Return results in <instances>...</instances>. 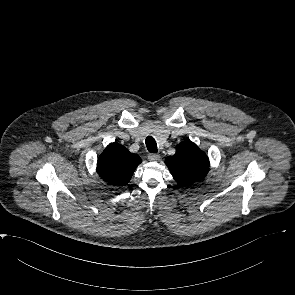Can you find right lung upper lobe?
<instances>
[{"label": "right lung upper lobe", "mask_w": 295, "mask_h": 295, "mask_svg": "<svg viewBox=\"0 0 295 295\" xmlns=\"http://www.w3.org/2000/svg\"><path fill=\"white\" fill-rule=\"evenodd\" d=\"M141 162L138 155L130 153L124 146L111 143L98 159L97 172L109 184L124 186Z\"/></svg>", "instance_id": "right-lung-upper-lobe-1"}]
</instances>
